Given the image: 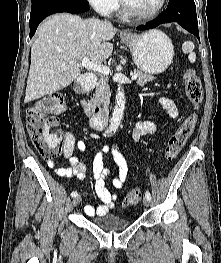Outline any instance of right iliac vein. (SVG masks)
<instances>
[{
	"label": "right iliac vein",
	"mask_w": 221,
	"mask_h": 263,
	"mask_svg": "<svg viewBox=\"0 0 221 263\" xmlns=\"http://www.w3.org/2000/svg\"><path fill=\"white\" fill-rule=\"evenodd\" d=\"M82 198L81 196H76L74 199H73V206H77L80 204Z\"/></svg>",
	"instance_id": "obj_1"
}]
</instances>
